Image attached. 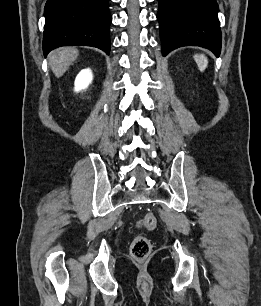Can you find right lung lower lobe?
<instances>
[{
  "label": "right lung lower lobe",
  "instance_id": "right-lung-lower-lobe-1",
  "mask_svg": "<svg viewBox=\"0 0 261 306\" xmlns=\"http://www.w3.org/2000/svg\"><path fill=\"white\" fill-rule=\"evenodd\" d=\"M109 0H47L43 52L64 45L97 47L110 53Z\"/></svg>",
  "mask_w": 261,
  "mask_h": 306
}]
</instances>
